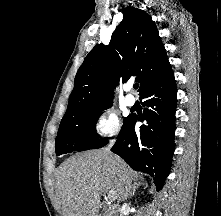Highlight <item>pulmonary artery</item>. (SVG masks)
I'll return each mask as SVG.
<instances>
[{
	"label": "pulmonary artery",
	"instance_id": "pulmonary-artery-1",
	"mask_svg": "<svg viewBox=\"0 0 221 216\" xmlns=\"http://www.w3.org/2000/svg\"><path fill=\"white\" fill-rule=\"evenodd\" d=\"M131 87H128L127 89V95H126V103L128 106H133L136 103V98L130 93Z\"/></svg>",
	"mask_w": 221,
	"mask_h": 216
}]
</instances>
